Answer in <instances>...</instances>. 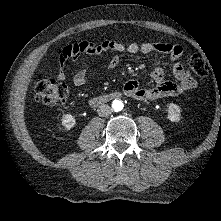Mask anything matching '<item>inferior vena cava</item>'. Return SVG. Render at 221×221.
<instances>
[{"label": "inferior vena cava", "mask_w": 221, "mask_h": 221, "mask_svg": "<svg viewBox=\"0 0 221 221\" xmlns=\"http://www.w3.org/2000/svg\"><path fill=\"white\" fill-rule=\"evenodd\" d=\"M112 108L109 105H101L99 106V108L97 109L98 115L101 117H107L112 113Z\"/></svg>", "instance_id": "obj_1"}]
</instances>
